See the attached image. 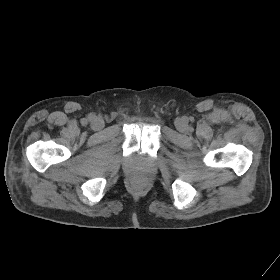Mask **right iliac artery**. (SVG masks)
Listing matches in <instances>:
<instances>
[{"mask_svg":"<svg viewBox=\"0 0 280 280\" xmlns=\"http://www.w3.org/2000/svg\"><path fill=\"white\" fill-rule=\"evenodd\" d=\"M93 119V116L89 117V120H92ZM85 122H87V120H85Z\"/></svg>","mask_w":280,"mask_h":280,"instance_id":"1","label":"right iliac artery"}]
</instances>
